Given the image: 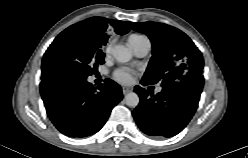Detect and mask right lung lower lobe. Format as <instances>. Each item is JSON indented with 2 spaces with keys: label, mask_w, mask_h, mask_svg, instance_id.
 <instances>
[{
  "label": "right lung lower lobe",
  "mask_w": 248,
  "mask_h": 158,
  "mask_svg": "<svg viewBox=\"0 0 248 158\" xmlns=\"http://www.w3.org/2000/svg\"><path fill=\"white\" fill-rule=\"evenodd\" d=\"M40 92L50 120L70 137L98 132L123 98L121 87L110 79L97 88L86 79L42 80Z\"/></svg>",
  "instance_id": "obj_1"
}]
</instances>
